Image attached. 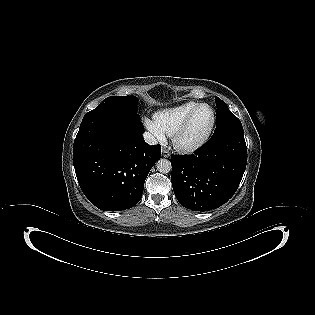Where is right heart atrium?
Instances as JSON below:
<instances>
[{
  "instance_id": "obj_1",
  "label": "right heart atrium",
  "mask_w": 315,
  "mask_h": 315,
  "mask_svg": "<svg viewBox=\"0 0 315 315\" xmlns=\"http://www.w3.org/2000/svg\"><path fill=\"white\" fill-rule=\"evenodd\" d=\"M146 128L151 132V134L161 143L165 142L166 134L161 130V128L156 123L155 119L146 118L144 121Z\"/></svg>"
}]
</instances>
